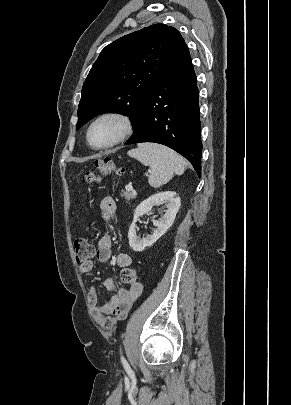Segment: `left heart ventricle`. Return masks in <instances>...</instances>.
<instances>
[{"instance_id":"1","label":"left heart ventricle","mask_w":291,"mask_h":405,"mask_svg":"<svg viewBox=\"0 0 291 405\" xmlns=\"http://www.w3.org/2000/svg\"><path fill=\"white\" fill-rule=\"evenodd\" d=\"M120 126L115 120L107 119L97 123L90 133V141L94 146H102L112 141L119 133Z\"/></svg>"}]
</instances>
